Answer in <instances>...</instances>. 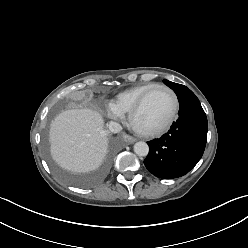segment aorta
Listing matches in <instances>:
<instances>
[{
	"mask_svg": "<svg viewBox=\"0 0 248 248\" xmlns=\"http://www.w3.org/2000/svg\"><path fill=\"white\" fill-rule=\"evenodd\" d=\"M134 152L138 156H147V154L149 152V147H148L147 143L139 141V142L135 143V145H134Z\"/></svg>",
	"mask_w": 248,
	"mask_h": 248,
	"instance_id": "1",
	"label": "aorta"
}]
</instances>
